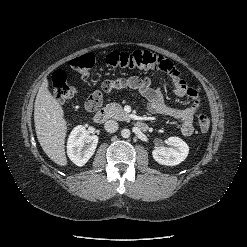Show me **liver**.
<instances>
[{
	"mask_svg": "<svg viewBox=\"0 0 247 247\" xmlns=\"http://www.w3.org/2000/svg\"><path fill=\"white\" fill-rule=\"evenodd\" d=\"M44 78L34 104V123L38 141L46 155L60 166L67 165L65 136L67 121L58 100L49 91Z\"/></svg>",
	"mask_w": 247,
	"mask_h": 247,
	"instance_id": "1",
	"label": "liver"
}]
</instances>
